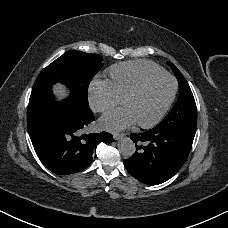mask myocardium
<instances>
[{"label":"myocardium","instance_id":"f54148a6","mask_svg":"<svg viewBox=\"0 0 228 228\" xmlns=\"http://www.w3.org/2000/svg\"><path fill=\"white\" fill-rule=\"evenodd\" d=\"M162 78H166L171 81L172 87H171L170 94H169L166 102L162 106L161 110L151 121H149L147 123L137 122L138 126H140L141 128H144V129L153 128L164 117V115L166 114L167 110L169 109V107L175 97V92H176V88H177L175 79L166 73L156 74L154 76L148 77V78L144 79L135 89H133L124 99V103H127L129 100L138 96L150 83H152L158 79H162Z\"/></svg>","mask_w":228,"mask_h":228}]
</instances>
